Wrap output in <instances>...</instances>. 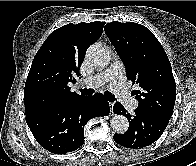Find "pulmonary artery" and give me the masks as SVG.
<instances>
[{
    "mask_svg": "<svg viewBox=\"0 0 196 166\" xmlns=\"http://www.w3.org/2000/svg\"><path fill=\"white\" fill-rule=\"evenodd\" d=\"M106 82L110 83V89L115 93L117 98L124 106L131 110L137 107V100L132 98L127 92L125 86V68L120 61H115L101 74L84 79L80 83V86L93 88L99 85H103Z\"/></svg>",
    "mask_w": 196,
    "mask_h": 166,
    "instance_id": "obj_1",
    "label": "pulmonary artery"
}]
</instances>
